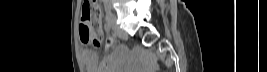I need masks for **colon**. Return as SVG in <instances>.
<instances>
[{
    "mask_svg": "<svg viewBox=\"0 0 267 72\" xmlns=\"http://www.w3.org/2000/svg\"><path fill=\"white\" fill-rule=\"evenodd\" d=\"M101 9L97 1H85L82 6L80 22V38L83 42L90 43L93 46H100L102 41V32L100 29Z\"/></svg>",
    "mask_w": 267,
    "mask_h": 72,
    "instance_id": "5ec220e1",
    "label": "colon"
}]
</instances>
